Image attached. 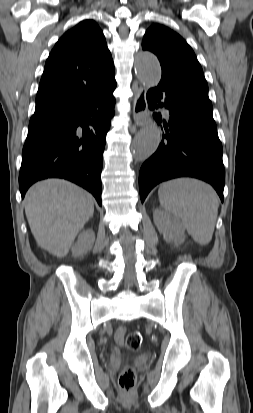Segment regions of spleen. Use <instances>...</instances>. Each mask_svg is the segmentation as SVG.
Segmentation results:
<instances>
[{
    "label": "spleen",
    "mask_w": 253,
    "mask_h": 413,
    "mask_svg": "<svg viewBox=\"0 0 253 413\" xmlns=\"http://www.w3.org/2000/svg\"><path fill=\"white\" fill-rule=\"evenodd\" d=\"M158 197L166 212L182 220L195 242L206 245L211 241L219 198L209 184L193 178L171 180L160 186Z\"/></svg>",
    "instance_id": "spleen-1"
}]
</instances>
